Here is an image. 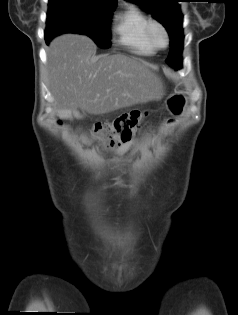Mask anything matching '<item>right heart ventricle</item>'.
Wrapping results in <instances>:
<instances>
[{
	"mask_svg": "<svg viewBox=\"0 0 238 315\" xmlns=\"http://www.w3.org/2000/svg\"><path fill=\"white\" fill-rule=\"evenodd\" d=\"M150 18L141 10L129 7L117 19L115 31L119 42L141 55H151L156 48L147 36V26Z\"/></svg>",
	"mask_w": 238,
	"mask_h": 315,
	"instance_id": "obj_1",
	"label": "right heart ventricle"
}]
</instances>
